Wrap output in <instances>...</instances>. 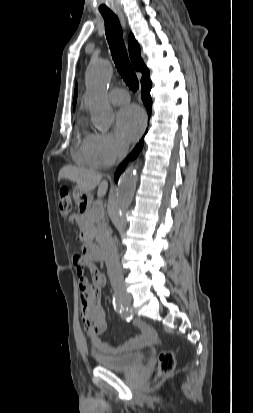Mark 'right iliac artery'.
<instances>
[{"label":"right iliac artery","mask_w":253,"mask_h":413,"mask_svg":"<svg viewBox=\"0 0 253 413\" xmlns=\"http://www.w3.org/2000/svg\"><path fill=\"white\" fill-rule=\"evenodd\" d=\"M113 306L114 309L120 314V316L127 321H129L132 318V315L128 308H125L119 301V299L114 295L113 296Z\"/></svg>","instance_id":"right-iliac-artery-1"}]
</instances>
